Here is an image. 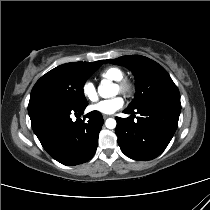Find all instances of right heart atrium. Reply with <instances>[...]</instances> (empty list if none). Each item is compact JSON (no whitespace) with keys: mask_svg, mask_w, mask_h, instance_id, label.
<instances>
[{"mask_svg":"<svg viewBox=\"0 0 210 210\" xmlns=\"http://www.w3.org/2000/svg\"><path fill=\"white\" fill-rule=\"evenodd\" d=\"M81 92L83 97L89 102H94L98 98L97 88L91 80L83 82Z\"/></svg>","mask_w":210,"mask_h":210,"instance_id":"d8ad5b80","label":"right heart atrium"}]
</instances>
